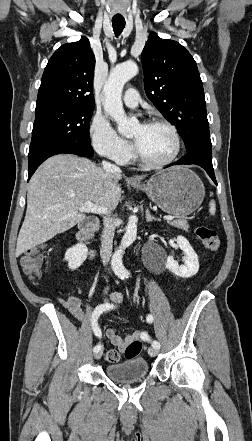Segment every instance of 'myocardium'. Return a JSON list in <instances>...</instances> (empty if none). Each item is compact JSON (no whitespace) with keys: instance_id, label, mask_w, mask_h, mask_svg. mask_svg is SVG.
Instances as JSON below:
<instances>
[{"instance_id":"1","label":"myocardium","mask_w":252,"mask_h":441,"mask_svg":"<svg viewBox=\"0 0 252 441\" xmlns=\"http://www.w3.org/2000/svg\"><path fill=\"white\" fill-rule=\"evenodd\" d=\"M144 125H146V126H163V127L167 128L171 132L173 139H174V150H173L172 154L170 155V157L167 158L166 160L161 161V162H151L142 155V153L139 151V149L137 147H135V155H136V158L138 159V161L140 162V164L148 169H161V168L167 167L168 165L172 164L176 160V158L178 157V155L181 151V138H180V134H179L177 128L169 121L164 120V119H159V118L151 119V120L147 121Z\"/></svg>"}]
</instances>
